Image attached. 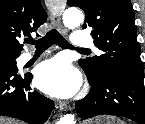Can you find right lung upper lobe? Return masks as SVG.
<instances>
[{
  "label": "right lung upper lobe",
  "mask_w": 145,
  "mask_h": 124,
  "mask_svg": "<svg viewBox=\"0 0 145 124\" xmlns=\"http://www.w3.org/2000/svg\"><path fill=\"white\" fill-rule=\"evenodd\" d=\"M47 20L40 0H0V52L19 55V39Z\"/></svg>",
  "instance_id": "cb5924a9"
}]
</instances>
